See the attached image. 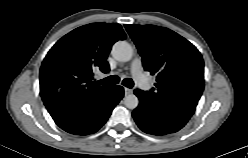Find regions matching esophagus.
Listing matches in <instances>:
<instances>
[{
  "label": "esophagus",
  "instance_id": "34e87169",
  "mask_svg": "<svg viewBox=\"0 0 248 158\" xmlns=\"http://www.w3.org/2000/svg\"><path fill=\"white\" fill-rule=\"evenodd\" d=\"M124 92H125V95H129V94H132L133 90L125 87Z\"/></svg>",
  "mask_w": 248,
  "mask_h": 158
}]
</instances>
